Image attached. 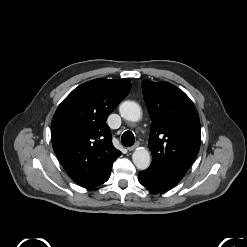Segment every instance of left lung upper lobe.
Instances as JSON below:
<instances>
[{
	"label": "left lung upper lobe",
	"mask_w": 247,
	"mask_h": 247,
	"mask_svg": "<svg viewBox=\"0 0 247 247\" xmlns=\"http://www.w3.org/2000/svg\"><path fill=\"white\" fill-rule=\"evenodd\" d=\"M151 123L148 170L177 184L196 158L201 142L200 121L190 98L168 82L142 81Z\"/></svg>",
	"instance_id": "obj_1"
}]
</instances>
